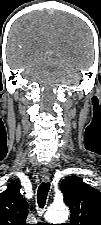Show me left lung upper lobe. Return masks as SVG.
I'll return each instance as SVG.
<instances>
[{
  "label": "left lung upper lobe",
  "instance_id": "left-lung-upper-lobe-1",
  "mask_svg": "<svg viewBox=\"0 0 101 225\" xmlns=\"http://www.w3.org/2000/svg\"><path fill=\"white\" fill-rule=\"evenodd\" d=\"M61 190L71 210L68 225H101V192L76 176L66 177Z\"/></svg>",
  "mask_w": 101,
  "mask_h": 225
}]
</instances>
